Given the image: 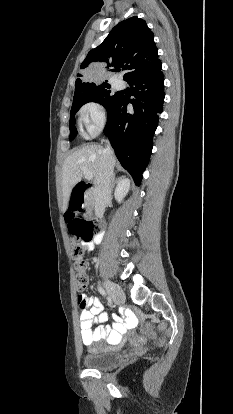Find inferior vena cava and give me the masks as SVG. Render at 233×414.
<instances>
[{"label": "inferior vena cava", "mask_w": 233, "mask_h": 414, "mask_svg": "<svg viewBox=\"0 0 233 414\" xmlns=\"http://www.w3.org/2000/svg\"><path fill=\"white\" fill-rule=\"evenodd\" d=\"M106 143L101 167L94 180V210L95 215L99 218L103 217L106 204L111 199V180L115 165V157L110 143L108 140Z\"/></svg>", "instance_id": "1"}]
</instances>
